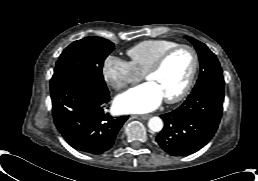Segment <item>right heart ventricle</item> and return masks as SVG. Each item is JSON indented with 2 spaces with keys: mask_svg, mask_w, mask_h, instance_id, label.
Here are the masks:
<instances>
[{
  "mask_svg": "<svg viewBox=\"0 0 258 181\" xmlns=\"http://www.w3.org/2000/svg\"><path fill=\"white\" fill-rule=\"evenodd\" d=\"M177 44L166 39L141 41L127 50L129 62L139 74L144 75L164 51Z\"/></svg>",
  "mask_w": 258,
  "mask_h": 181,
  "instance_id": "e07e8e85",
  "label": "right heart ventricle"
}]
</instances>
